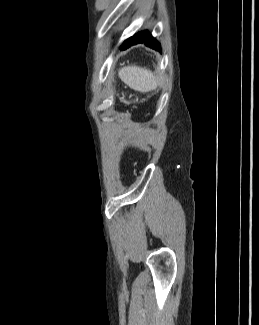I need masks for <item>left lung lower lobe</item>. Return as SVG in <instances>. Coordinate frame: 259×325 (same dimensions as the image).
<instances>
[{"mask_svg":"<svg viewBox=\"0 0 259 325\" xmlns=\"http://www.w3.org/2000/svg\"><path fill=\"white\" fill-rule=\"evenodd\" d=\"M139 43H145L146 46L161 51L160 44L155 40V38L151 34L148 33V31L139 32L133 35L129 39L125 40L120 48L122 50H125L128 47Z\"/></svg>","mask_w":259,"mask_h":325,"instance_id":"left-lung-lower-lobe-1","label":"left lung lower lobe"}]
</instances>
